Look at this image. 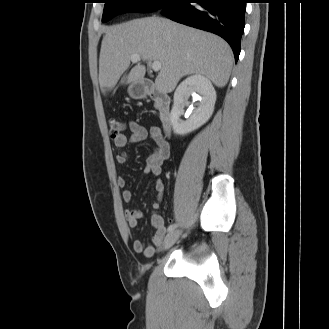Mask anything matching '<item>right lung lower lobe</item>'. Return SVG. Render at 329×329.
<instances>
[{
    "mask_svg": "<svg viewBox=\"0 0 329 329\" xmlns=\"http://www.w3.org/2000/svg\"><path fill=\"white\" fill-rule=\"evenodd\" d=\"M247 0H171L162 14L173 21L212 32L231 46L235 61L245 26Z\"/></svg>",
    "mask_w": 329,
    "mask_h": 329,
    "instance_id": "right-lung-lower-lobe-1",
    "label": "right lung lower lobe"
}]
</instances>
